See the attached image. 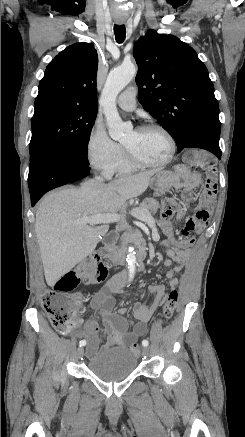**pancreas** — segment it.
Returning <instances> with one entry per match:
<instances>
[{
    "instance_id": "obj_1",
    "label": "pancreas",
    "mask_w": 245,
    "mask_h": 437,
    "mask_svg": "<svg viewBox=\"0 0 245 437\" xmlns=\"http://www.w3.org/2000/svg\"><path fill=\"white\" fill-rule=\"evenodd\" d=\"M158 207H159V203L156 199L145 198L140 203L139 207L136 208V211H137L138 215L141 216L142 214H144L146 212H148L149 214L155 213L156 210L158 209ZM141 240H142L141 232L137 229L131 230V228H128V230L122 234V241L125 244L129 243V242L138 243Z\"/></svg>"
}]
</instances>
